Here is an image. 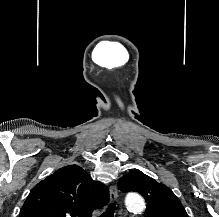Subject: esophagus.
<instances>
[{"instance_id":"1","label":"esophagus","mask_w":219,"mask_h":217,"mask_svg":"<svg viewBox=\"0 0 219 217\" xmlns=\"http://www.w3.org/2000/svg\"><path fill=\"white\" fill-rule=\"evenodd\" d=\"M110 192V202L114 203L118 199V191L116 185L112 184L109 188Z\"/></svg>"}]
</instances>
